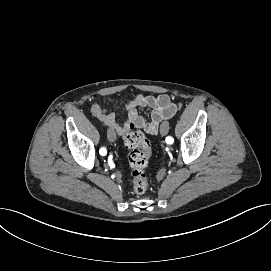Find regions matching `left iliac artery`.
Listing matches in <instances>:
<instances>
[{"mask_svg":"<svg viewBox=\"0 0 271 271\" xmlns=\"http://www.w3.org/2000/svg\"><path fill=\"white\" fill-rule=\"evenodd\" d=\"M173 140H174L173 137L170 136V137H167V138H166V141H165V142H166V144H168V145L170 144V145H171V144H173V142H174Z\"/></svg>","mask_w":271,"mask_h":271,"instance_id":"44dca946","label":"left iliac artery"}]
</instances>
